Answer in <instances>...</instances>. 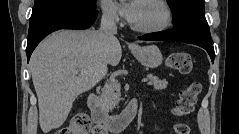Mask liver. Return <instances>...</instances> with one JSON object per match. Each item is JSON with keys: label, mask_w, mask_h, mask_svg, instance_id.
Masks as SVG:
<instances>
[{"label": "liver", "mask_w": 239, "mask_h": 134, "mask_svg": "<svg viewBox=\"0 0 239 134\" xmlns=\"http://www.w3.org/2000/svg\"><path fill=\"white\" fill-rule=\"evenodd\" d=\"M121 57L118 39H107L96 30H62L43 40L29 67L44 134L62 126L76 97L103 78L101 66H116Z\"/></svg>", "instance_id": "obj_1"}]
</instances>
